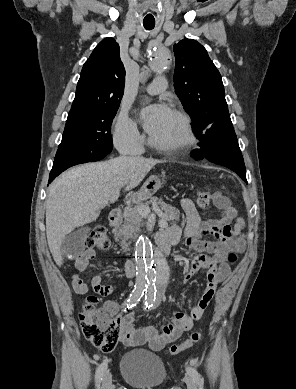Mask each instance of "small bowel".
<instances>
[{"mask_svg":"<svg viewBox=\"0 0 296 389\" xmlns=\"http://www.w3.org/2000/svg\"><path fill=\"white\" fill-rule=\"evenodd\" d=\"M216 206L221 210V216L217 219L202 220L194 203L190 199L183 198L180 200V207L186 218L183 234L178 226L171 225L157 235V237H171L175 242L181 236L184 237L186 251L190 255L185 271L187 280L194 271L200 268L207 270L206 286L198 303L190 313L176 311L171 322L161 330L153 326H135L133 313H124L119 319L120 340L123 344L132 347L147 344L154 351L164 349L192 328L194 320L202 316L213 299L217 285L228 278L231 269L226 262L227 256L232 250L242 251L244 243L242 239L236 238L237 230L231 225L236 219V214L229 201L218 198ZM205 236H212L214 240H204ZM94 256L93 249L81 251L75 259L76 270L84 271ZM72 287L78 294H85L92 289L102 297L111 295L115 290V286L103 284L99 275L85 280L78 274H74ZM104 307L111 315H115L120 309L119 303L115 300H107Z\"/></svg>","mask_w":296,"mask_h":389,"instance_id":"c3829d8e","label":"small bowel"}]
</instances>
